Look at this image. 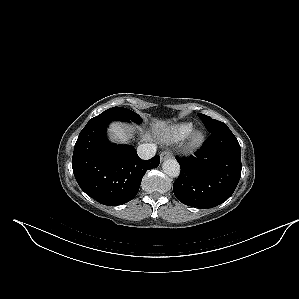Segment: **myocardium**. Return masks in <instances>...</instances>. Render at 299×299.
Wrapping results in <instances>:
<instances>
[{
    "mask_svg": "<svg viewBox=\"0 0 299 299\" xmlns=\"http://www.w3.org/2000/svg\"><path fill=\"white\" fill-rule=\"evenodd\" d=\"M205 138L206 135L203 130H194L188 136L187 147L191 150L198 149L204 143Z\"/></svg>",
    "mask_w": 299,
    "mask_h": 299,
    "instance_id": "obj_1",
    "label": "myocardium"
}]
</instances>
